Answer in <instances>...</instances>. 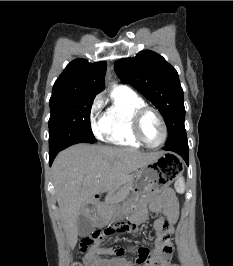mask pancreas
<instances>
[{
  "instance_id": "obj_1",
  "label": "pancreas",
  "mask_w": 233,
  "mask_h": 266,
  "mask_svg": "<svg viewBox=\"0 0 233 266\" xmlns=\"http://www.w3.org/2000/svg\"><path fill=\"white\" fill-rule=\"evenodd\" d=\"M135 185V178L129 176L119 187L111 190L107 197V203H117L126 198Z\"/></svg>"
}]
</instances>
